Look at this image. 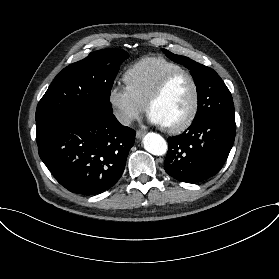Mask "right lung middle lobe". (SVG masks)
<instances>
[{
	"instance_id": "right-lung-middle-lobe-1",
	"label": "right lung middle lobe",
	"mask_w": 279,
	"mask_h": 279,
	"mask_svg": "<svg viewBox=\"0 0 279 279\" xmlns=\"http://www.w3.org/2000/svg\"><path fill=\"white\" fill-rule=\"evenodd\" d=\"M128 57L122 49H103L64 68L39 101L36 119L54 109L79 106L98 113H112L111 88L119 66Z\"/></svg>"
}]
</instances>
